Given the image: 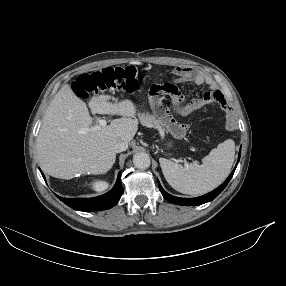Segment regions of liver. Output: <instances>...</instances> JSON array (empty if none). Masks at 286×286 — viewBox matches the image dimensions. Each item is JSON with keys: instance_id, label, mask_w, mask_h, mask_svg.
<instances>
[{"instance_id": "6515ba94", "label": "liver", "mask_w": 286, "mask_h": 286, "mask_svg": "<svg viewBox=\"0 0 286 286\" xmlns=\"http://www.w3.org/2000/svg\"><path fill=\"white\" fill-rule=\"evenodd\" d=\"M92 113L119 115L110 125L82 133L92 124L85 102L69 85L56 93L45 113L37 138V154L47 174L72 179L78 173L104 174L116 160L114 145L119 139L130 142L138 130L136 105L128 99L110 102L106 95L91 98Z\"/></svg>"}]
</instances>
